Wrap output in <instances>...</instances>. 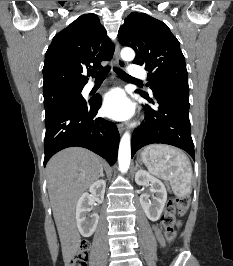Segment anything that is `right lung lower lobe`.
<instances>
[{
	"mask_svg": "<svg viewBox=\"0 0 233 266\" xmlns=\"http://www.w3.org/2000/svg\"><path fill=\"white\" fill-rule=\"evenodd\" d=\"M101 101L99 95L46 114L44 167L56 152L72 146L87 148L107 159L110 165L116 162L120 135L115 123L96 117Z\"/></svg>",
	"mask_w": 233,
	"mask_h": 266,
	"instance_id": "right-lung-lower-lobe-1",
	"label": "right lung lower lobe"
}]
</instances>
